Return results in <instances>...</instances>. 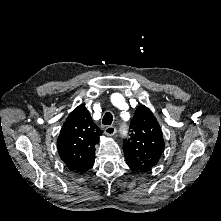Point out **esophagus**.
I'll use <instances>...</instances> for the list:
<instances>
[{"label":"esophagus","instance_id":"obj_1","mask_svg":"<svg viewBox=\"0 0 221 221\" xmlns=\"http://www.w3.org/2000/svg\"><path fill=\"white\" fill-rule=\"evenodd\" d=\"M104 133L108 136H113L116 133V128L114 126H108L105 128Z\"/></svg>","mask_w":221,"mask_h":221}]
</instances>
